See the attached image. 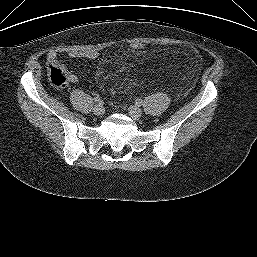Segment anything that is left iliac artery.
I'll list each match as a JSON object with an SVG mask.
<instances>
[{
  "mask_svg": "<svg viewBox=\"0 0 257 257\" xmlns=\"http://www.w3.org/2000/svg\"><path fill=\"white\" fill-rule=\"evenodd\" d=\"M135 104L137 106H141L142 105V99H136Z\"/></svg>",
  "mask_w": 257,
  "mask_h": 257,
  "instance_id": "44dca946",
  "label": "left iliac artery"
}]
</instances>
